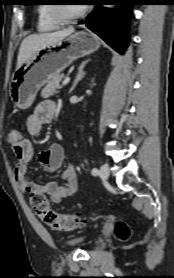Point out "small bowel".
<instances>
[{
  "label": "small bowel",
  "instance_id": "small-bowel-1",
  "mask_svg": "<svg viewBox=\"0 0 174 278\" xmlns=\"http://www.w3.org/2000/svg\"><path fill=\"white\" fill-rule=\"evenodd\" d=\"M56 106L53 101L45 100L39 103L33 113L27 118L26 127L30 135L36 136L41 133L45 124L53 119ZM12 151L16 158L14 170L15 180L19 189L24 193L38 192L50 197L55 204L63 199L72 197L77 189V174L72 165H67L64 170V184L60 186L55 181L35 183L29 177L28 165L33 159V146L31 142L22 138L21 141L12 144ZM64 161V150L59 144H52L47 150L39 155L40 164L48 171L59 169Z\"/></svg>",
  "mask_w": 174,
  "mask_h": 278
}]
</instances>
